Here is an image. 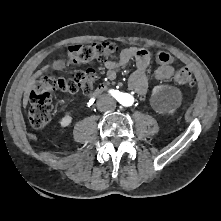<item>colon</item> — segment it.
I'll use <instances>...</instances> for the list:
<instances>
[{"label":"colon","mask_w":221,"mask_h":221,"mask_svg":"<svg viewBox=\"0 0 221 221\" xmlns=\"http://www.w3.org/2000/svg\"><path fill=\"white\" fill-rule=\"evenodd\" d=\"M119 50L113 42H97L90 45L76 44L69 47L67 59L71 64L88 63L93 60H108ZM96 74L88 69L79 71L71 78L44 76L38 79L29 92V121L34 128L46 126L52 117V95L57 92L75 93L90 92L95 84ZM174 80L180 85H192L191 71L180 68L174 75Z\"/></svg>","instance_id":"colon-1"}]
</instances>
